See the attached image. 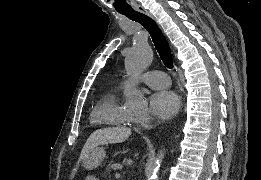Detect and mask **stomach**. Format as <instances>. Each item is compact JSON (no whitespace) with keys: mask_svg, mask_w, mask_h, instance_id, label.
Masks as SVG:
<instances>
[{"mask_svg":"<svg viewBox=\"0 0 261 180\" xmlns=\"http://www.w3.org/2000/svg\"><path fill=\"white\" fill-rule=\"evenodd\" d=\"M105 150L103 147H95L88 152L83 158V166L87 170H93L98 167L105 158Z\"/></svg>","mask_w":261,"mask_h":180,"instance_id":"obj_1","label":"stomach"}]
</instances>
